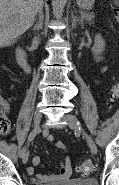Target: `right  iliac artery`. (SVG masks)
<instances>
[{
    "instance_id": "1",
    "label": "right iliac artery",
    "mask_w": 119,
    "mask_h": 185,
    "mask_svg": "<svg viewBox=\"0 0 119 185\" xmlns=\"http://www.w3.org/2000/svg\"><path fill=\"white\" fill-rule=\"evenodd\" d=\"M35 136H36V133L32 131V132L29 134V136H28V141H27V143H28V142H31V141L34 139ZM25 151H26V147H23V148L20 150V156H21V157L23 156V154L25 153Z\"/></svg>"
}]
</instances>
